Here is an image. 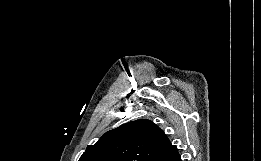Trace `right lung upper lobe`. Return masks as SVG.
<instances>
[{"instance_id":"1","label":"right lung upper lobe","mask_w":261,"mask_h":161,"mask_svg":"<svg viewBox=\"0 0 261 161\" xmlns=\"http://www.w3.org/2000/svg\"><path fill=\"white\" fill-rule=\"evenodd\" d=\"M175 153L176 146L156 124L140 119L106 132L79 161H161Z\"/></svg>"}]
</instances>
